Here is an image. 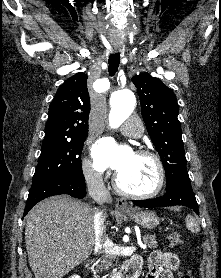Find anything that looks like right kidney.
Wrapping results in <instances>:
<instances>
[{
	"label": "right kidney",
	"instance_id": "1",
	"mask_svg": "<svg viewBox=\"0 0 221 278\" xmlns=\"http://www.w3.org/2000/svg\"><path fill=\"white\" fill-rule=\"evenodd\" d=\"M70 278H80V277L78 275H74V276H72Z\"/></svg>",
	"mask_w": 221,
	"mask_h": 278
}]
</instances>
